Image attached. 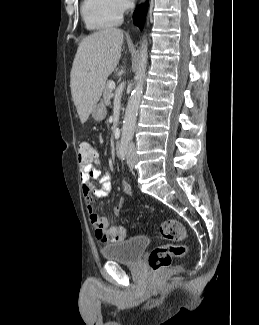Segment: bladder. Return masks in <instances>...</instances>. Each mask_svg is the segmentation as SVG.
I'll return each mask as SVG.
<instances>
[{
  "instance_id": "bladder-1",
  "label": "bladder",
  "mask_w": 259,
  "mask_h": 325,
  "mask_svg": "<svg viewBox=\"0 0 259 325\" xmlns=\"http://www.w3.org/2000/svg\"><path fill=\"white\" fill-rule=\"evenodd\" d=\"M150 244L146 236H135L128 240L108 244L101 248L102 257L108 261L122 264H136Z\"/></svg>"
}]
</instances>
